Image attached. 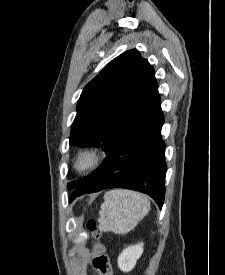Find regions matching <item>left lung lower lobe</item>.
<instances>
[{"label": "left lung lower lobe", "mask_w": 225, "mask_h": 275, "mask_svg": "<svg viewBox=\"0 0 225 275\" xmlns=\"http://www.w3.org/2000/svg\"><path fill=\"white\" fill-rule=\"evenodd\" d=\"M163 123L158 97L107 154L102 165L77 185L69 202L86 193L121 187L148 194L161 208L167 170L161 138Z\"/></svg>", "instance_id": "obj_1"}]
</instances>
